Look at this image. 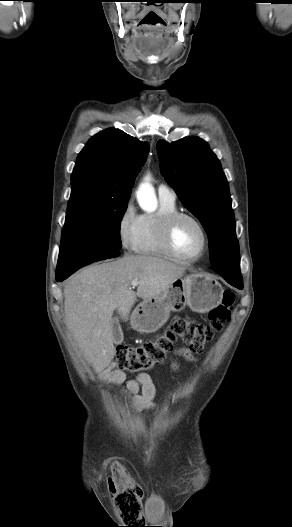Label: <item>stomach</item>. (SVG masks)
Here are the masks:
<instances>
[{"label": "stomach", "mask_w": 292, "mask_h": 527, "mask_svg": "<svg viewBox=\"0 0 292 527\" xmlns=\"http://www.w3.org/2000/svg\"><path fill=\"white\" fill-rule=\"evenodd\" d=\"M222 297L218 281L206 274L192 273L167 292L144 300L134 310L131 326L140 333H152L166 323L171 311L179 312L188 306L194 312L207 313L221 303Z\"/></svg>", "instance_id": "stomach-1"}]
</instances>
